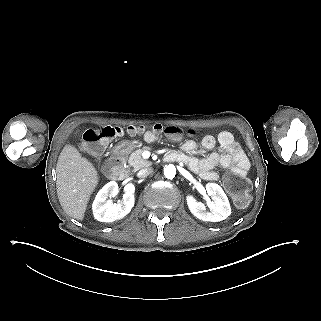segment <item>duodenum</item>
I'll list each match as a JSON object with an SVG mask.
<instances>
[{
  "mask_svg": "<svg viewBox=\"0 0 321 321\" xmlns=\"http://www.w3.org/2000/svg\"><path fill=\"white\" fill-rule=\"evenodd\" d=\"M180 157L176 153H168L165 155L164 160L166 162L179 161ZM105 173L114 180L122 178L124 174L123 157L119 151H114L108 158L104 165Z\"/></svg>",
  "mask_w": 321,
  "mask_h": 321,
  "instance_id": "obj_1",
  "label": "duodenum"
}]
</instances>
